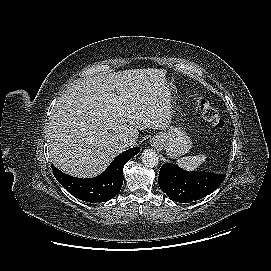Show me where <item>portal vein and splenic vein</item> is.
<instances>
[{"label": "portal vein and splenic vein", "mask_w": 271, "mask_h": 271, "mask_svg": "<svg viewBox=\"0 0 271 271\" xmlns=\"http://www.w3.org/2000/svg\"><path fill=\"white\" fill-rule=\"evenodd\" d=\"M114 101H115L116 103H120V102H121V97H119V96L115 97V98H114Z\"/></svg>", "instance_id": "portal-vein-and-splenic-vein-1"}]
</instances>
